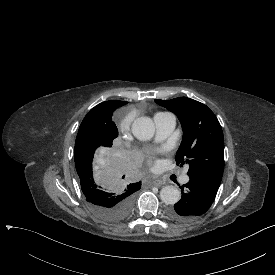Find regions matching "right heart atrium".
<instances>
[{"label":"right heart atrium","mask_w":275,"mask_h":275,"mask_svg":"<svg viewBox=\"0 0 275 275\" xmlns=\"http://www.w3.org/2000/svg\"><path fill=\"white\" fill-rule=\"evenodd\" d=\"M127 126V122L122 124V128H125Z\"/></svg>","instance_id":"1"}]
</instances>
